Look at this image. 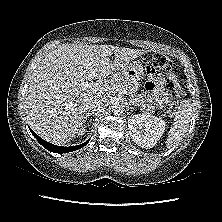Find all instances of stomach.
<instances>
[{
  "mask_svg": "<svg viewBox=\"0 0 222 222\" xmlns=\"http://www.w3.org/2000/svg\"><path fill=\"white\" fill-rule=\"evenodd\" d=\"M121 76L137 85L144 78V68L139 62L129 63L122 70Z\"/></svg>",
  "mask_w": 222,
  "mask_h": 222,
  "instance_id": "stomach-1",
  "label": "stomach"
}]
</instances>
